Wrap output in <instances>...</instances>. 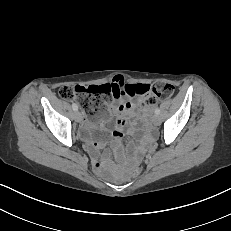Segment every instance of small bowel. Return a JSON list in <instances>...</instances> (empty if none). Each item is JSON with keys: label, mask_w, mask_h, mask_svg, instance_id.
I'll return each mask as SVG.
<instances>
[{"label": "small bowel", "mask_w": 231, "mask_h": 231, "mask_svg": "<svg viewBox=\"0 0 231 231\" xmlns=\"http://www.w3.org/2000/svg\"><path fill=\"white\" fill-rule=\"evenodd\" d=\"M112 84L116 85L120 90V95L116 98L117 102L111 103L110 108L115 113L116 117L109 123H102L97 125L93 122H86V129L91 132L101 131L102 135L96 138L92 143V148L96 152L102 149L105 145V133L111 130L114 138V147L116 149L120 146V140L125 132L131 133L135 126V108L137 102L129 100V98L136 95L128 91V87L135 86V84L127 83L123 76L117 75L113 78Z\"/></svg>", "instance_id": "c3829d8e"}]
</instances>
